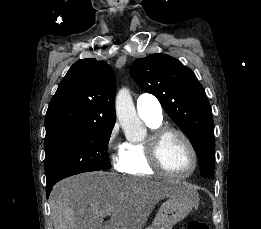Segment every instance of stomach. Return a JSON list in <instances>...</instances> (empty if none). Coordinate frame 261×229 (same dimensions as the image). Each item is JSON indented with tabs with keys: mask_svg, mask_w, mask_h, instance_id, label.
<instances>
[{
	"mask_svg": "<svg viewBox=\"0 0 261 229\" xmlns=\"http://www.w3.org/2000/svg\"><path fill=\"white\" fill-rule=\"evenodd\" d=\"M175 195H171L160 207L151 227L148 229H173V225L185 219L199 201V195L190 183L173 181Z\"/></svg>",
	"mask_w": 261,
	"mask_h": 229,
	"instance_id": "1",
	"label": "stomach"
}]
</instances>
